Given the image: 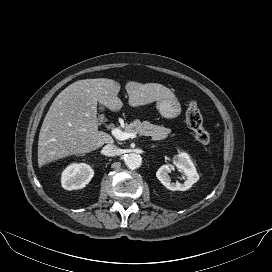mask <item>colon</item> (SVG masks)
Listing matches in <instances>:
<instances>
[{"mask_svg": "<svg viewBox=\"0 0 272 272\" xmlns=\"http://www.w3.org/2000/svg\"><path fill=\"white\" fill-rule=\"evenodd\" d=\"M186 123L196 140L202 144L210 142V134L203 127V119L196 101L191 100L186 110Z\"/></svg>", "mask_w": 272, "mask_h": 272, "instance_id": "5ec220e1", "label": "colon"}]
</instances>
